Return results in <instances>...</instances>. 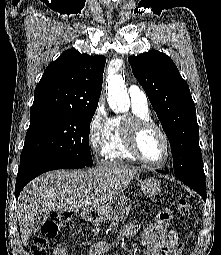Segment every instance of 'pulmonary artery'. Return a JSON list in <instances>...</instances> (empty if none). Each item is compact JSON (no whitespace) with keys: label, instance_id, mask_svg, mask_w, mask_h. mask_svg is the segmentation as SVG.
I'll return each mask as SVG.
<instances>
[{"label":"pulmonary artery","instance_id":"pulmonary-artery-1","mask_svg":"<svg viewBox=\"0 0 221 255\" xmlns=\"http://www.w3.org/2000/svg\"><path fill=\"white\" fill-rule=\"evenodd\" d=\"M128 93L132 103H135L137 105H143V106L147 105V101H148L147 95L138 86L131 85L128 89Z\"/></svg>","mask_w":221,"mask_h":255}]
</instances>
